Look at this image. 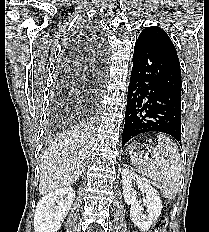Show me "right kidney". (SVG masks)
<instances>
[{
    "label": "right kidney",
    "instance_id": "ca27d5eb",
    "mask_svg": "<svg viewBox=\"0 0 209 232\" xmlns=\"http://www.w3.org/2000/svg\"><path fill=\"white\" fill-rule=\"evenodd\" d=\"M75 198L71 187H61L40 199L34 214L35 232H57Z\"/></svg>",
    "mask_w": 209,
    "mask_h": 232
}]
</instances>
